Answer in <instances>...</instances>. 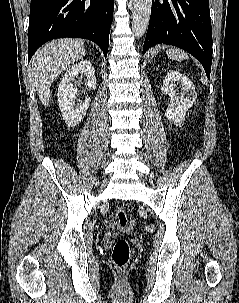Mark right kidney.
I'll return each mask as SVG.
<instances>
[{"mask_svg": "<svg viewBox=\"0 0 239 303\" xmlns=\"http://www.w3.org/2000/svg\"><path fill=\"white\" fill-rule=\"evenodd\" d=\"M79 73L86 76L85 86L88 89L94 90L96 88L95 71L88 60L76 63L65 73L59 84L57 96L63 119L70 127L76 126L85 117L91 102V99L86 97L84 102H80L77 108H74V103L78 97V90L72 82Z\"/></svg>", "mask_w": 239, "mask_h": 303, "instance_id": "right-kidney-1", "label": "right kidney"}]
</instances>
